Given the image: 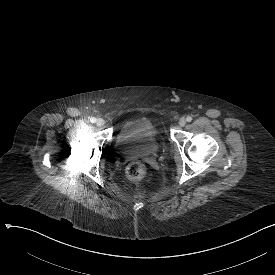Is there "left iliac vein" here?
I'll return each instance as SVG.
<instances>
[{
  "label": "left iliac vein",
  "mask_w": 275,
  "mask_h": 275,
  "mask_svg": "<svg viewBox=\"0 0 275 275\" xmlns=\"http://www.w3.org/2000/svg\"><path fill=\"white\" fill-rule=\"evenodd\" d=\"M186 125V119L185 118H181L180 120H179V126L180 127H184Z\"/></svg>",
  "instance_id": "left-iliac-vein-1"
}]
</instances>
